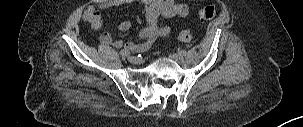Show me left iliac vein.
Wrapping results in <instances>:
<instances>
[{"label": "left iliac vein", "mask_w": 303, "mask_h": 127, "mask_svg": "<svg viewBox=\"0 0 303 127\" xmlns=\"http://www.w3.org/2000/svg\"><path fill=\"white\" fill-rule=\"evenodd\" d=\"M171 58L177 62L183 61V57L180 54H173Z\"/></svg>", "instance_id": "obj_1"}]
</instances>
